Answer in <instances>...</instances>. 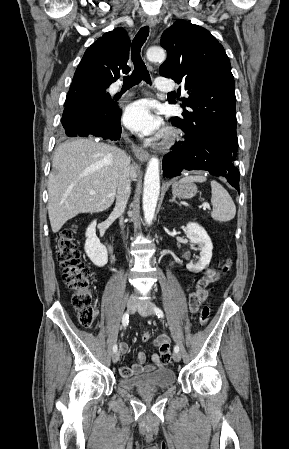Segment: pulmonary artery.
<instances>
[{"label": "pulmonary artery", "mask_w": 289, "mask_h": 449, "mask_svg": "<svg viewBox=\"0 0 289 449\" xmlns=\"http://www.w3.org/2000/svg\"><path fill=\"white\" fill-rule=\"evenodd\" d=\"M155 85L160 90H167L170 87L169 80L164 77H158L156 79ZM116 92V90H114Z\"/></svg>", "instance_id": "pulmonary-artery-1"}]
</instances>
